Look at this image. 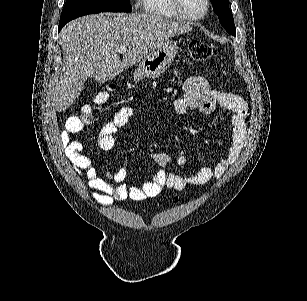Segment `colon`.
<instances>
[{
    "instance_id": "1",
    "label": "colon",
    "mask_w": 307,
    "mask_h": 301,
    "mask_svg": "<svg viewBox=\"0 0 307 301\" xmlns=\"http://www.w3.org/2000/svg\"><path fill=\"white\" fill-rule=\"evenodd\" d=\"M189 55L193 61L204 62L211 58L213 50L211 46L200 40H193L188 46ZM113 89V86L110 87ZM108 99V92L99 93L95 98V103L103 104ZM93 120V114L91 107L87 106L84 108L81 114V123L83 125H90Z\"/></svg>"
}]
</instances>
